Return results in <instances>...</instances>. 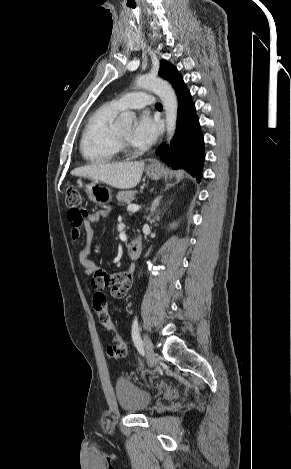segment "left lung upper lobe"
Listing matches in <instances>:
<instances>
[{
    "label": "left lung upper lobe",
    "instance_id": "1",
    "mask_svg": "<svg viewBox=\"0 0 291 469\" xmlns=\"http://www.w3.org/2000/svg\"><path fill=\"white\" fill-rule=\"evenodd\" d=\"M158 74L160 77L169 81L171 84H173L181 76L178 73L176 67L165 60L160 62V69Z\"/></svg>",
    "mask_w": 291,
    "mask_h": 469
}]
</instances>
